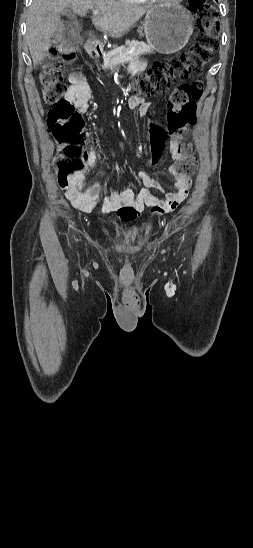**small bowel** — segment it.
<instances>
[{
    "label": "small bowel",
    "instance_id": "c3829d8e",
    "mask_svg": "<svg viewBox=\"0 0 253 548\" xmlns=\"http://www.w3.org/2000/svg\"><path fill=\"white\" fill-rule=\"evenodd\" d=\"M145 67L143 61L131 65L130 68L136 72L142 71ZM70 86L65 94V99L73 104L80 113L87 111L88 102L91 99V92L86 77L80 72H73L69 76ZM130 109L140 108L142 111H148L152 103L145 101L144 98L134 95L128 100ZM181 136L171 137L169 141V152L174 159L178 157ZM97 153L91 148L86 158L88 167H94L97 164ZM175 177L174 191L165 192L160 183L152 178L144 169L137 172L138 178L144 187L139 192H134L130 188L121 191L113 190L103 198L100 206V212L104 215L118 211V217L123 222L133 221L137 213L145 208H151L152 213L163 215L175 210L180 203L187 197L191 187L189 176L172 174ZM64 190L66 198L73 207L83 212H91L97 205V199L102 192V186L98 183L86 187V171L74 175L67 186L60 185ZM154 191L164 194L162 198H157Z\"/></svg>",
    "mask_w": 253,
    "mask_h": 548
}]
</instances>
